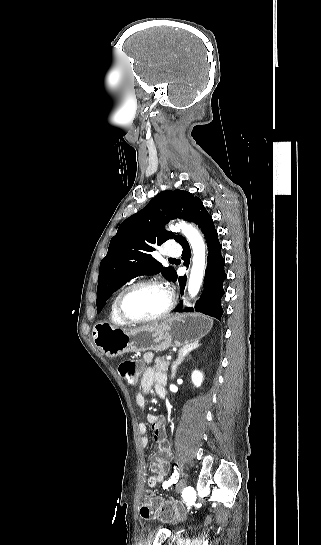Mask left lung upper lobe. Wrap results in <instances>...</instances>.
Segmentation results:
<instances>
[{"label": "left lung upper lobe", "mask_w": 321, "mask_h": 545, "mask_svg": "<svg viewBox=\"0 0 321 545\" xmlns=\"http://www.w3.org/2000/svg\"><path fill=\"white\" fill-rule=\"evenodd\" d=\"M201 205L200 198L187 191L166 190L122 222L100 264L97 312L117 289L137 276L161 272L170 280L174 278L176 270L163 267L151 253L168 239L180 243L184 237L166 231L163 225L176 218L190 221Z\"/></svg>", "instance_id": "1"}]
</instances>
